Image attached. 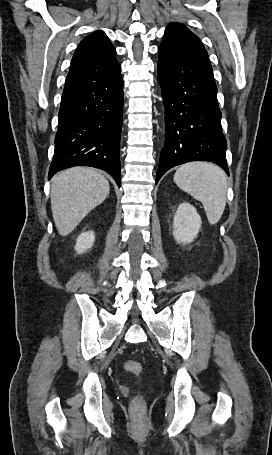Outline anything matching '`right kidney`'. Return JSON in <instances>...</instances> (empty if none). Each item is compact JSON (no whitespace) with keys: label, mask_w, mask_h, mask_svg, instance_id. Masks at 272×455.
Here are the masks:
<instances>
[{"label":"right kidney","mask_w":272,"mask_h":455,"mask_svg":"<svg viewBox=\"0 0 272 455\" xmlns=\"http://www.w3.org/2000/svg\"><path fill=\"white\" fill-rule=\"evenodd\" d=\"M94 241L95 235L93 231L82 232L76 240L75 250L77 254H82L90 249Z\"/></svg>","instance_id":"right-kidney-1"}]
</instances>
